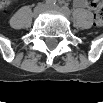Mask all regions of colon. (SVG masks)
<instances>
[{
  "instance_id": "5ec220e1",
  "label": "colon",
  "mask_w": 103,
  "mask_h": 103,
  "mask_svg": "<svg viewBox=\"0 0 103 103\" xmlns=\"http://www.w3.org/2000/svg\"><path fill=\"white\" fill-rule=\"evenodd\" d=\"M8 2H4L3 6H6ZM89 7L95 10V23L97 25H102L103 23V7L102 5L97 1H91L89 2Z\"/></svg>"
}]
</instances>
